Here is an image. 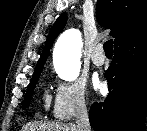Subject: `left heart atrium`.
<instances>
[{
  "label": "left heart atrium",
  "instance_id": "obj_1",
  "mask_svg": "<svg viewBox=\"0 0 147 131\" xmlns=\"http://www.w3.org/2000/svg\"><path fill=\"white\" fill-rule=\"evenodd\" d=\"M94 87H95L96 89H99V88L101 87V84H100L98 81H96V82L94 83Z\"/></svg>",
  "mask_w": 147,
  "mask_h": 131
}]
</instances>
